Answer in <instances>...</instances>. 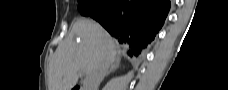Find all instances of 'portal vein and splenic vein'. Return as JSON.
Here are the masks:
<instances>
[{
    "instance_id": "portal-vein-and-splenic-vein-1",
    "label": "portal vein and splenic vein",
    "mask_w": 228,
    "mask_h": 90,
    "mask_svg": "<svg viewBox=\"0 0 228 90\" xmlns=\"http://www.w3.org/2000/svg\"><path fill=\"white\" fill-rule=\"evenodd\" d=\"M79 73H80V74H84L83 71H80Z\"/></svg>"
}]
</instances>
